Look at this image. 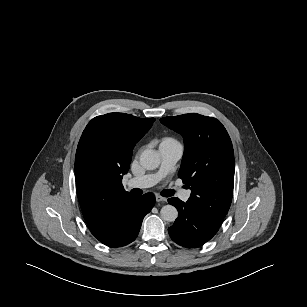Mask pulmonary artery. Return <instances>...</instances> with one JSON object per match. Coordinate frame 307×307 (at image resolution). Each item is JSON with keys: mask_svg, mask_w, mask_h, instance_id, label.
Instances as JSON below:
<instances>
[{"mask_svg": "<svg viewBox=\"0 0 307 307\" xmlns=\"http://www.w3.org/2000/svg\"><path fill=\"white\" fill-rule=\"evenodd\" d=\"M161 164L156 173L133 177L128 180V187L148 188L158 183L163 177L169 174L175 167L183 154V146L177 141H163L158 149ZM191 191H182L179 196L183 201H188Z\"/></svg>", "mask_w": 307, "mask_h": 307, "instance_id": "obj_1", "label": "pulmonary artery"}]
</instances>
